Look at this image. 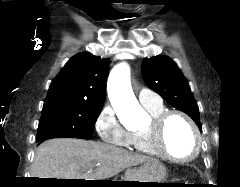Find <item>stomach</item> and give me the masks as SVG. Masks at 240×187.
Returning a JSON list of instances; mask_svg holds the SVG:
<instances>
[{"label":"stomach","mask_w":240,"mask_h":187,"mask_svg":"<svg viewBox=\"0 0 240 187\" xmlns=\"http://www.w3.org/2000/svg\"><path fill=\"white\" fill-rule=\"evenodd\" d=\"M167 176L165 166L158 161H150L144 163L140 168L136 170H129L125 174L124 181L130 182H157V183H137L144 184L141 186L154 187L158 186V183H163Z\"/></svg>","instance_id":"obj_1"}]
</instances>
